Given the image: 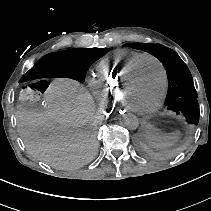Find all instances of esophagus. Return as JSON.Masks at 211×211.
<instances>
[{"instance_id": "obj_1", "label": "esophagus", "mask_w": 211, "mask_h": 211, "mask_svg": "<svg viewBox=\"0 0 211 211\" xmlns=\"http://www.w3.org/2000/svg\"><path fill=\"white\" fill-rule=\"evenodd\" d=\"M125 113H126V110L123 107H118V108L114 109V111H113V114L116 117L123 116V115H125Z\"/></svg>"}]
</instances>
